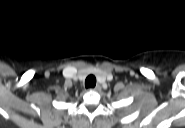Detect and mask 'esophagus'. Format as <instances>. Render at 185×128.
<instances>
[{
	"label": "esophagus",
	"instance_id": "esophagus-1",
	"mask_svg": "<svg viewBox=\"0 0 185 128\" xmlns=\"http://www.w3.org/2000/svg\"><path fill=\"white\" fill-rule=\"evenodd\" d=\"M92 89L95 90V91H100L101 87H100V85H96Z\"/></svg>",
	"mask_w": 185,
	"mask_h": 128
}]
</instances>
